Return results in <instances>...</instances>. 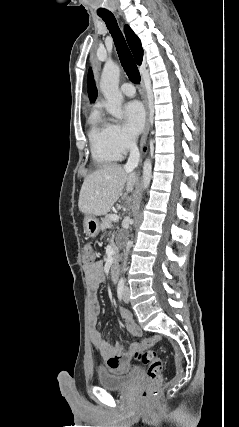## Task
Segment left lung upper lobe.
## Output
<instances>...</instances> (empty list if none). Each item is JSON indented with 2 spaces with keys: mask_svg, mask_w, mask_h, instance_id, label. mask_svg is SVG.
Listing matches in <instances>:
<instances>
[{
  "mask_svg": "<svg viewBox=\"0 0 239 427\" xmlns=\"http://www.w3.org/2000/svg\"><path fill=\"white\" fill-rule=\"evenodd\" d=\"M87 85H88L89 99L91 102H94L97 98V88L95 86L93 73L91 69H89V72H88Z\"/></svg>",
  "mask_w": 239,
  "mask_h": 427,
  "instance_id": "obj_1",
  "label": "left lung upper lobe"
}]
</instances>
